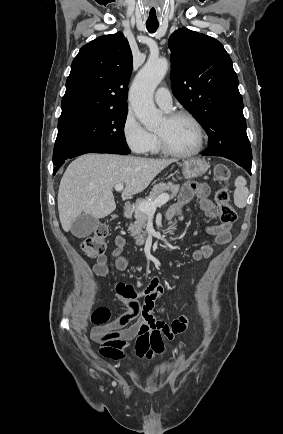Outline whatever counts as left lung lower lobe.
Wrapping results in <instances>:
<instances>
[{
	"label": "left lung lower lobe",
	"mask_w": 283,
	"mask_h": 434,
	"mask_svg": "<svg viewBox=\"0 0 283 434\" xmlns=\"http://www.w3.org/2000/svg\"><path fill=\"white\" fill-rule=\"evenodd\" d=\"M203 155L212 156V155L206 154V152H204ZM251 162H252V160H244V161L239 162L238 165L242 166L248 173L251 174Z\"/></svg>",
	"instance_id": "1"
}]
</instances>
